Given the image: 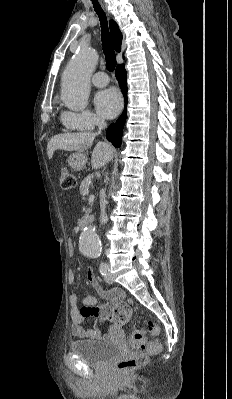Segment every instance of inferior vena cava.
<instances>
[{
    "label": "inferior vena cava",
    "instance_id": "602c4592",
    "mask_svg": "<svg viewBox=\"0 0 232 399\" xmlns=\"http://www.w3.org/2000/svg\"><path fill=\"white\" fill-rule=\"evenodd\" d=\"M95 124L96 126H98V134H100L101 130H104V128H106V122H104V120H95ZM100 207H101V221H104L106 217L105 200H101Z\"/></svg>",
    "mask_w": 232,
    "mask_h": 399
}]
</instances>
